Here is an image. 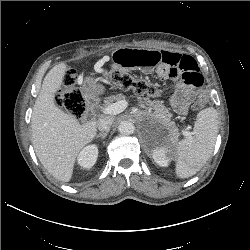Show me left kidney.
<instances>
[{"label": "left kidney", "mask_w": 250, "mask_h": 250, "mask_svg": "<svg viewBox=\"0 0 250 250\" xmlns=\"http://www.w3.org/2000/svg\"><path fill=\"white\" fill-rule=\"evenodd\" d=\"M168 147L160 146L152 150V157L154 161L160 166H167L169 164V158L167 157Z\"/></svg>", "instance_id": "5707ae66"}]
</instances>
